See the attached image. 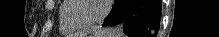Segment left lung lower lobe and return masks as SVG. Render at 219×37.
<instances>
[{"label":"left lung lower lobe","mask_w":219,"mask_h":37,"mask_svg":"<svg viewBox=\"0 0 219 37\" xmlns=\"http://www.w3.org/2000/svg\"><path fill=\"white\" fill-rule=\"evenodd\" d=\"M161 0H116L103 26L119 25L129 37H156Z\"/></svg>","instance_id":"obj_1"}]
</instances>
